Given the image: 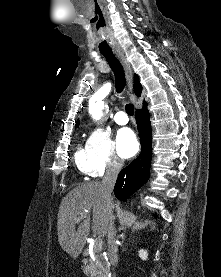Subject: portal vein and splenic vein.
Segmentation results:
<instances>
[{"mask_svg": "<svg viewBox=\"0 0 221 277\" xmlns=\"http://www.w3.org/2000/svg\"><path fill=\"white\" fill-rule=\"evenodd\" d=\"M78 222H80L81 220L80 219H78L77 220ZM102 244H103V241H102V239H101V237L99 236L98 238H96L95 239V245L97 246V247H102Z\"/></svg>", "mask_w": 221, "mask_h": 277, "instance_id": "18ae733b", "label": "portal vein and splenic vein"}]
</instances>
